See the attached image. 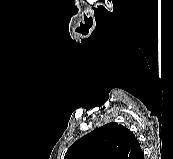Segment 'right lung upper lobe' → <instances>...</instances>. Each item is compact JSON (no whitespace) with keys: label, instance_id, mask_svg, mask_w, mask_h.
I'll use <instances>...</instances> for the list:
<instances>
[{"label":"right lung upper lobe","instance_id":"cb5924a9","mask_svg":"<svg viewBox=\"0 0 173 159\" xmlns=\"http://www.w3.org/2000/svg\"><path fill=\"white\" fill-rule=\"evenodd\" d=\"M64 159H144V154L134 134L113 122L77 140Z\"/></svg>","mask_w":173,"mask_h":159}]
</instances>
